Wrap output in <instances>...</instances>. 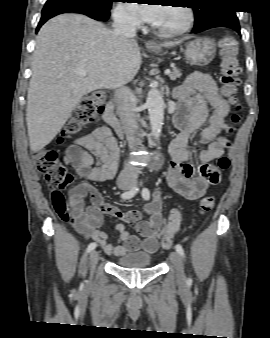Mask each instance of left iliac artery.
<instances>
[{"label": "left iliac artery", "mask_w": 270, "mask_h": 338, "mask_svg": "<svg viewBox=\"0 0 270 338\" xmlns=\"http://www.w3.org/2000/svg\"><path fill=\"white\" fill-rule=\"evenodd\" d=\"M142 197L144 200H149L150 199V191L148 188H143L142 190ZM175 250L182 256L184 257V249L180 244H176Z\"/></svg>", "instance_id": "44dca946"}]
</instances>
